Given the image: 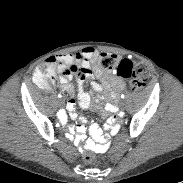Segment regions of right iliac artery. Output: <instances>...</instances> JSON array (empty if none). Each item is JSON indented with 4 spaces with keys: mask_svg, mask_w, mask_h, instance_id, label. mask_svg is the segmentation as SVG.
I'll return each mask as SVG.
<instances>
[{
    "mask_svg": "<svg viewBox=\"0 0 183 183\" xmlns=\"http://www.w3.org/2000/svg\"><path fill=\"white\" fill-rule=\"evenodd\" d=\"M58 97H61V95L59 94ZM57 115H58L60 118H63V117L65 116V113L62 112V111H59V112L57 113Z\"/></svg>",
    "mask_w": 183,
    "mask_h": 183,
    "instance_id": "right-iliac-artery-1",
    "label": "right iliac artery"
}]
</instances>
